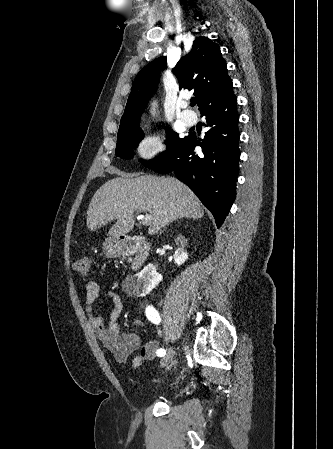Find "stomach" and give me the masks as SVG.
<instances>
[{
    "label": "stomach",
    "mask_w": 333,
    "mask_h": 449,
    "mask_svg": "<svg viewBox=\"0 0 333 449\" xmlns=\"http://www.w3.org/2000/svg\"><path fill=\"white\" fill-rule=\"evenodd\" d=\"M103 250L107 257H119L124 253L122 242L114 237L105 240Z\"/></svg>",
    "instance_id": "stomach-1"
}]
</instances>
